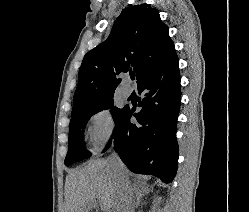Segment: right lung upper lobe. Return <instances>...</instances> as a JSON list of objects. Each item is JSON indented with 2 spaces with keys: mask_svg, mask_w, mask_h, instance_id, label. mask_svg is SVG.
Here are the masks:
<instances>
[{
  "mask_svg": "<svg viewBox=\"0 0 249 212\" xmlns=\"http://www.w3.org/2000/svg\"><path fill=\"white\" fill-rule=\"evenodd\" d=\"M174 55L169 29L157 9L146 4L124 9L107 40L85 55L73 109L113 96L121 73L134 70L138 85Z\"/></svg>",
  "mask_w": 249,
  "mask_h": 212,
  "instance_id": "cb5924a9",
  "label": "right lung upper lobe"
}]
</instances>
